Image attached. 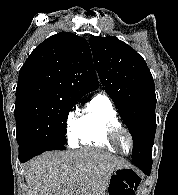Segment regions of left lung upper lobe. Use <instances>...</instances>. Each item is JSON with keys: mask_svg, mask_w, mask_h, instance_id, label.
<instances>
[{"mask_svg": "<svg viewBox=\"0 0 178 195\" xmlns=\"http://www.w3.org/2000/svg\"><path fill=\"white\" fill-rule=\"evenodd\" d=\"M94 65L133 138V163L152 159L156 132V95L145 60L116 37L91 36Z\"/></svg>", "mask_w": 178, "mask_h": 195, "instance_id": "1", "label": "left lung upper lobe"}]
</instances>
